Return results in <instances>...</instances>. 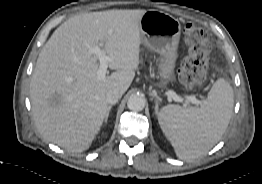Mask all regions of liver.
Wrapping results in <instances>:
<instances>
[{
	"label": "liver",
	"mask_w": 262,
	"mask_h": 184,
	"mask_svg": "<svg viewBox=\"0 0 262 184\" xmlns=\"http://www.w3.org/2000/svg\"><path fill=\"white\" fill-rule=\"evenodd\" d=\"M146 10H108L73 16L39 53L30 82L33 117L48 141L72 153L91 146L108 111L106 94L123 95L140 63V19ZM102 48L115 71L98 79Z\"/></svg>",
	"instance_id": "1"
}]
</instances>
